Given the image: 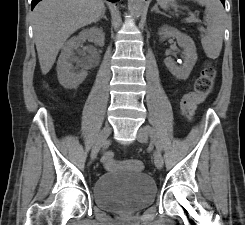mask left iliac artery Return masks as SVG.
Returning a JSON list of instances; mask_svg holds the SVG:
<instances>
[{
  "instance_id": "left-iliac-artery-1",
  "label": "left iliac artery",
  "mask_w": 245,
  "mask_h": 225,
  "mask_svg": "<svg viewBox=\"0 0 245 225\" xmlns=\"http://www.w3.org/2000/svg\"><path fill=\"white\" fill-rule=\"evenodd\" d=\"M145 130L147 131V133L151 136L154 137V129L150 126H146ZM155 145L157 150L160 152L162 150L161 144L159 141H155Z\"/></svg>"
}]
</instances>
